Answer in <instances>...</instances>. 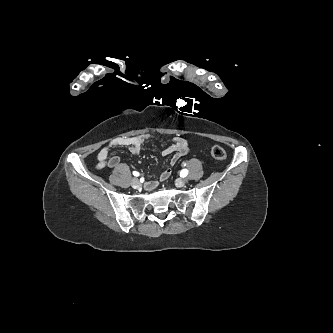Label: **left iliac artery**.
Masks as SVG:
<instances>
[{"label":"left iliac artery","instance_id":"44dca946","mask_svg":"<svg viewBox=\"0 0 333 333\" xmlns=\"http://www.w3.org/2000/svg\"><path fill=\"white\" fill-rule=\"evenodd\" d=\"M180 174H181L182 177H185V176H187V174H188V170H187V169H183V170L180 172Z\"/></svg>","mask_w":333,"mask_h":333}]
</instances>
